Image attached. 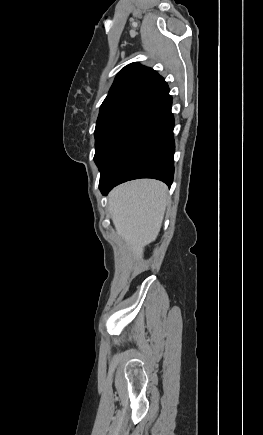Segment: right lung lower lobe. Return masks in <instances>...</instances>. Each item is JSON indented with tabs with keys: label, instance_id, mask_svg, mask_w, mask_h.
<instances>
[{
	"label": "right lung lower lobe",
	"instance_id": "1",
	"mask_svg": "<svg viewBox=\"0 0 263 435\" xmlns=\"http://www.w3.org/2000/svg\"><path fill=\"white\" fill-rule=\"evenodd\" d=\"M171 106L167 88L147 102L130 122L101 171L99 188L103 195L120 183L138 178H154L171 186L175 151Z\"/></svg>",
	"mask_w": 263,
	"mask_h": 435
}]
</instances>
